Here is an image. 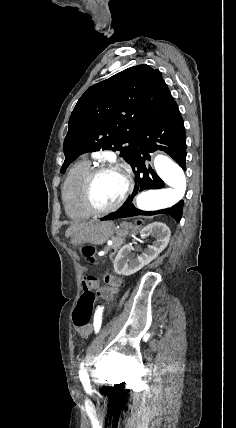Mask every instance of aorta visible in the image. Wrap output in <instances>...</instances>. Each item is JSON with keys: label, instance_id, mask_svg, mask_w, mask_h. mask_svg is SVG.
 <instances>
[{"label": "aorta", "instance_id": "1", "mask_svg": "<svg viewBox=\"0 0 236 428\" xmlns=\"http://www.w3.org/2000/svg\"><path fill=\"white\" fill-rule=\"evenodd\" d=\"M154 167L157 175L169 188L148 190L137 196V208L148 212L172 207L183 198L186 191L184 171L173 160L165 155H157Z\"/></svg>", "mask_w": 236, "mask_h": 428}]
</instances>
